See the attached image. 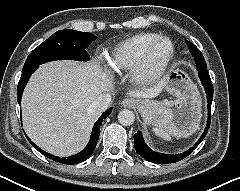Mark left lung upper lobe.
I'll list each match as a JSON object with an SVG mask.
<instances>
[{
    "label": "left lung upper lobe",
    "instance_id": "1",
    "mask_svg": "<svg viewBox=\"0 0 240 191\" xmlns=\"http://www.w3.org/2000/svg\"><path fill=\"white\" fill-rule=\"evenodd\" d=\"M186 43L192 53V56L195 58L196 68L201 67L207 69L206 62L199 49L189 41H186Z\"/></svg>",
    "mask_w": 240,
    "mask_h": 191
}]
</instances>
